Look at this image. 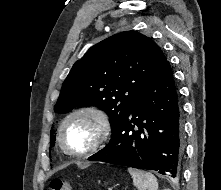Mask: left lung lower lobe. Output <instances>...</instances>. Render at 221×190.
<instances>
[{
  "label": "left lung lower lobe",
  "mask_w": 221,
  "mask_h": 190,
  "mask_svg": "<svg viewBox=\"0 0 221 190\" xmlns=\"http://www.w3.org/2000/svg\"><path fill=\"white\" fill-rule=\"evenodd\" d=\"M111 130L110 142L88 160L155 170L172 178L180 175L181 105L168 61Z\"/></svg>",
  "instance_id": "obj_1"
}]
</instances>
